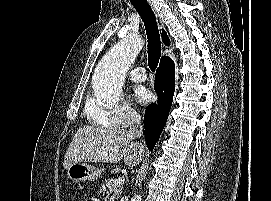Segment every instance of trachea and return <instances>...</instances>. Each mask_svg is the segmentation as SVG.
Instances as JSON below:
<instances>
[{"label": "trachea", "mask_w": 271, "mask_h": 201, "mask_svg": "<svg viewBox=\"0 0 271 201\" xmlns=\"http://www.w3.org/2000/svg\"><path fill=\"white\" fill-rule=\"evenodd\" d=\"M130 1L144 22L148 42V66L154 72L161 56L160 34L155 15L147 0Z\"/></svg>", "instance_id": "trachea-1"}]
</instances>
